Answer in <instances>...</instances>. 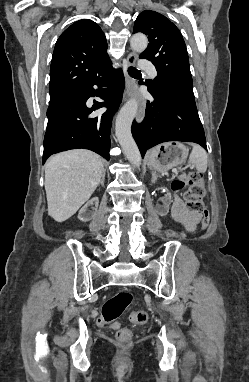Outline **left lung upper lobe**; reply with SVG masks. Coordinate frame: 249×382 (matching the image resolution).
<instances>
[{
    "label": "left lung upper lobe",
    "mask_w": 249,
    "mask_h": 382,
    "mask_svg": "<svg viewBox=\"0 0 249 382\" xmlns=\"http://www.w3.org/2000/svg\"><path fill=\"white\" fill-rule=\"evenodd\" d=\"M143 32L149 44L140 58L150 60L157 77L149 87L159 93L195 102L188 53L178 28L165 16L151 10L140 13L133 33Z\"/></svg>",
    "instance_id": "5c2ea615"
}]
</instances>
